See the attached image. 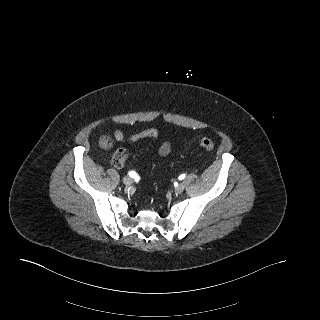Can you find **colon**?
Masks as SVG:
<instances>
[{
	"label": "colon",
	"instance_id": "obj_1",
	"mask_svg": "<svg viewBox=\"0 0 320 320\" xmlns=\"http://www.w3.org/2000/svg\"><path fill=\"white\" fill-rule=\"evenodd\" d=\"M101 145L105 148H109L112 145V141L111 138L109 136H102L100 139ZM197 143L199 144V146H201L203 149L207 150V151H211L214 149V142L207 137H201L197 140ZM128 157V153L126 151V149L121 148L118 149L113 158H112V162L116 167H122Z\"/></svg>",
	"mask_w": 320,
	"mask_h": 320
}]
</instances>
